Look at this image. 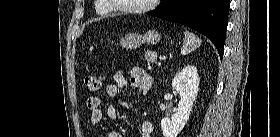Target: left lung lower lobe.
Listing matches in <instances>:
<instances>
[{"label": "left lung lower lobe", "mask_w": 280, "mask_h": 137, "mask_svg": "<svg viewBox=\"0 0 280 137\" xmlns=\"http://www.w3.org/2000/svg\"><path fill=\"white\" fill-rule=\"evenodd\" d=\"M230 0H165L149 15L187 25L209 38L223 56Z\"/></svg>", "instance_id": "obj_1"}]
</instances>
